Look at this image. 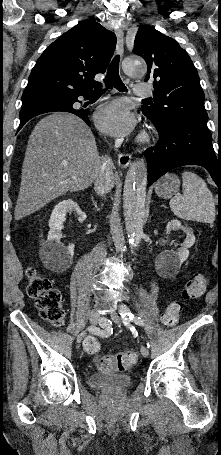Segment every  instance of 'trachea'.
Returning a JSON list of instances; mask_svg holds the SVG:
<instances>
[{"label":"trachea","instance_id":"trachea-1","mask_svg":"<svg viewBox=\"0 0 221 455\" xmlns=\"http://www.w3.org/2000/svg\"><path fill=\"white\" fill-rule=\"evenodd\" d=\"M119 62H120V57H119V55H116L113 58L112 62L110 63V66L107 71V76L104 81L106 88L98 91V93H104L106 91V89L113 88V87H115L120 92H124L127 90V88L125 87V85L123 84V82L119 76Z\"/></svg>","mask_w":221,"mask_h":455}]
</instances>
